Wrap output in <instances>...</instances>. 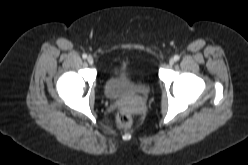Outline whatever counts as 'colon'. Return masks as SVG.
Returning <instances> with one entry per match:
<instances>
[{
    "label": "colon",
    "mask_w": 248,
    "mask_h": 165,
    "mask_svg": "<svg viewBox=\"0 0 248 165\" xmlns=\"http://www.w3.org/2000/svg\"><path fill=\"white\" fill-rule=\"evenodd\" d=\"M132 123V117L127 112H119L116 116V124L119 128H127Z\"/></svg>",
    "instance_id": "colon-1"
}]
</instances>
